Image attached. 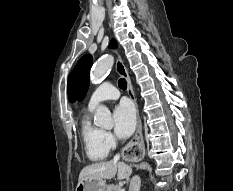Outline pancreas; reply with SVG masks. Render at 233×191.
Wrapping results in <instances>:
<instances>
[{
  "instance_id": "cf45deb5",
  "label": "pancreas",
  "mask_w": 233,
  "mask_h": 191,
  "mask_svg": "<svg viewBox=\"0 0 233 191\" xmlns=\"http://www.w3.org/2000/svg\"><path fill=\"white\" fill-rule=\"evenodd\" d=\"M106 191H121V187L118 185H109Z\"/></svg>"
}]
</instances>
